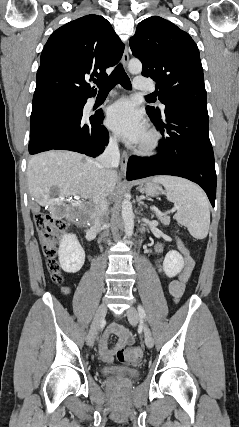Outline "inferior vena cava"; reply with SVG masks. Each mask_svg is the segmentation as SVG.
Masks as SVG:
<instances>
[{"instance_id":"602c4592","label":"inferior vena cava","mask_w":239,"mask_h":427,"mask_svg":"<svg viewBox=\"0 0 239 427\" xmlns=\"http://www.w3.org/2000/svg\"><path fill=\"white\" fill-rule=\"evenodd\" d=\"M120 160V153L116 137H111L104 152L98 157L99 167L104 174L110 173L113 168L117 167ZM108 204L105 199L98 204V215L95 219L94 228L100 230L101 226L108 218Z\"/></svg>"}]
</instances>
